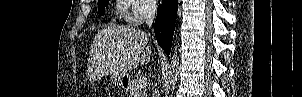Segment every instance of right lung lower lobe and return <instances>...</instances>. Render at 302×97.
<instances>
[{
  "label": "right lung lower lobe",
  "instance_id": "right-lung-lower-lobe-1",
  "mask_svg": "<svg viewBox=\"0 0 302 97\" xmlns=\"http://www.w3.org/2000/svg\"><path fill=\"white\" fill-rule=\"evenodd\" d=\"M176 17L177 0H163L157 9L154 30L159 45L167 55H169L172 46Z\"/></svg>",
  "mask_w": 302,
  "mask_h": 97
}]
</instances>
